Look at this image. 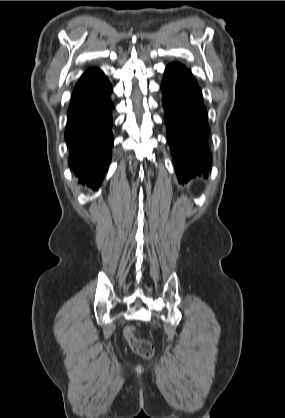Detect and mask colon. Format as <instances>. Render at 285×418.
I'll list each match as a JSON object with an SVG mask.
<instances>
[{
    "instance_id": "colon-1",
    "label": "colon",
    "mask_w": 285,
    "mask_h": 418,
    "mask_svg": "<svg viewBox=\"0 0 285 418\" xmlns=\"http://www.w3.org/2000/svg\"><path fill=\"white\" fill-rule=\"evenodd\" d=\"M124 336L131 349L138 353L141 357L145 359H150L153 357V344L147 339L137 337L135 334V328L133 326H128L125 328Z\"/></svg>"
}]
</instances>
